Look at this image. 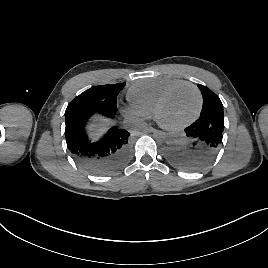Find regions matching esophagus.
<instances>
[{
  "instance_id": "obj_1",
  "label": "esophagus",
  "mask_w": 268,
  "mask_h": 268,
  "mask_svg": "<svg viewBox=\"0 0 268 268\" xmlns=\"http://www.w3.org/2000/svg\"><path fill=\"white\" fill-rule=\"evenodd\" d=\"M158 130L153 128V127H146L143 129V132L145 133H152V132H157Z\"/></svg>"
}]
</instances>
